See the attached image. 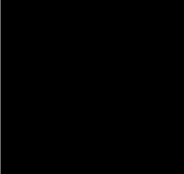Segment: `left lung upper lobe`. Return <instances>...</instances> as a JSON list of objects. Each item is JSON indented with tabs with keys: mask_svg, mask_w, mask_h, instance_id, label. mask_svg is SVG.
<instances>
[{
	"mask_svg": "<svg viewBox=\"0 0 184 174\" xmlns=\"http://www.w3.org/2000/svg\"><path fill=\"white\" fill-rule=\"evenodd\" d=\"M116 73L122 92L132 103V120L163 129L171 109V92L166 82L133 54L120 57Z\"/></svg>",
	"mask_w": 184,
	"mask_h": 174,
	"instance_id": "1",
	"label": "left lung upper lobe"
}]
</instances>
